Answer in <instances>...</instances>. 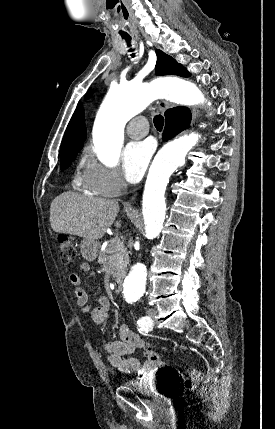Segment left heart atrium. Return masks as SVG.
Returning <instances> with one entry per match:
<instances>
[{
	"instance_id": "39dd6f15",
	"label": "left heart atrium",
	"mask_w": 275,
	"mask_h": 429,
	"mask_svg": "<svg viewBox=\"0 0 275 429\" xmlns=\"http://www.w3.org/2000/svg\"><path fill=\"white\" fill-rule=\"evenodd\" d=\"M154 145L149 140L129 143L122 155V170L130 183L138 182L152 157Z\"/></svg>"
}]
</instances>
